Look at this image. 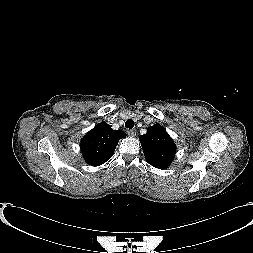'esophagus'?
<instances>
[{"label":"esophagus","instance_id":"obj_1","mask_svg":"<svg viewBox=\"0 0 253 253\" xmlns=\"http://www.w3.org/2000/svg\"><path fill=\"white\" fill-rule=\"evenodd\" d=\"M128 135L131 137H134L136 135V130L135 129H130L127 131Z\"/></svg>","mask_w":253,"mask_h":253}]
</instances>
